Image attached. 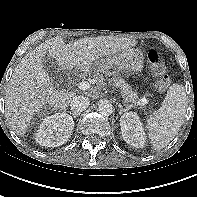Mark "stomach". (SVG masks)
I'll list each match as a JSON object with an SVG mask.
<instances>
[{
	"label": "stomach",
	"mask_w": 197,
	"mask_h": 197,
	"mask_svg": "<svg viewBox=\"0 0 197 197\" xmlns=\"http://www.w3.org/2000/svg\"><path fill=\"white\" fill-rule=\"evenodd\" d=\"M97 71L107 75L138 73L143 70L144 57L140 49H128L122 53L95 61Z\"/></svg>",
	"instance_id": "1"
}]
</instances>
